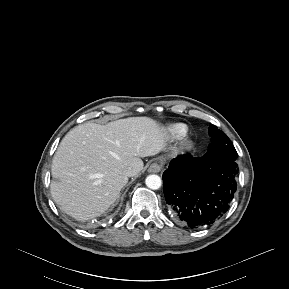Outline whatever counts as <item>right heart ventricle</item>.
<instances>
[{"instance_id": "right-heart-ventricle-1", "label": "right heart ventricle", "mask_w": 289, "mask_h": 289, "mask_svg": "<svg viewBox=\"0 0 289 289\" xmlns=\"http://www.w3.org/2000/svg\"><path fill=\"white\" fill-rule=\"evenodd\" d=\"M187 127L181 123H175L168 127V134L173 139H181L187 134Z\"/></svg>"}]
</instances>
